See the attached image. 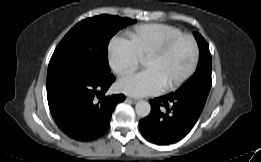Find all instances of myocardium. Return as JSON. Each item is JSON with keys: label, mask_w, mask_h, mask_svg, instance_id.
Masks as SVG:
<instances>
[{"label": "myocardium", "mask_w": 261, "mask_h": 162, "mask_svg": "<svg viewBox=\"0 0 261 162\" xmlns=\"http://www.w3.org/2000/svg\"><path fill=\"white\" fill-rule=\"evenodd\" d=\"M182 39H188L193 46V60L191 63L190 68L188 69V71L181 76L178 80H176L175 82L164 86V90L165 91H172L175 90L177 88H179L181 85H183L196 71L198 63H199V59H200V49H199V45L197 40L195 39L194 36L190 35V34H180L177 36H174L170 39H168L167 41H165L164 43H162L160 46H158L157 48H155L154 50H152L146 57H145V61L149 58H153V57H161L163 55H165L166 53H168V51L180 40Z\"/></svg>", "instance_id": "1"}]
</instances>
